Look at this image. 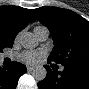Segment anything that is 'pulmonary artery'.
<instances>
[{
  "label": "pulmonary artery",
  "instance_id": "1",
  "mask_svg": "<svg viewBox=\"0 0 89 89\" xmlns=\"http://www.w3.org/2000/svg\"><path fill=\"white\" fill-rule=\"evenodd\" d=\"M34 35L38 41L43 42L47 40L49 36V30L46 27H36L34 29Z\"/></svg>",
  "mask_w": 89,
  "mask_h": 89
}]
</instances>
